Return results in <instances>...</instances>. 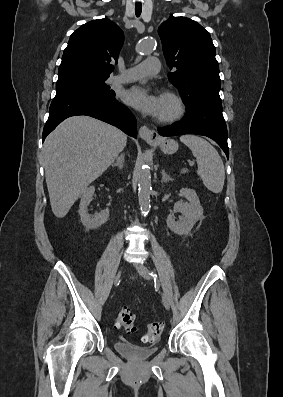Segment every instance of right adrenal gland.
<instances>
[{"mask_svg": "<svg viewBox=\"0 0 283 397\" xmlns=\"http://www.w3.org/2000/svg\"><path fill=\"white\" fill-rule=\"evenodd\" d=\"M124 160H125V155L122 153V154L117 158L116 162H114V163L112 164V167L118 166L119 169L122 170Z\"/></svg>", "mask_w": 283, "mask_h": 397, "instance_id": "obj_1", "label": "right adrenal gland"}]
</instances>
